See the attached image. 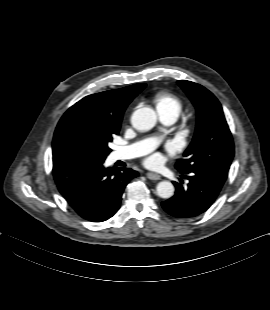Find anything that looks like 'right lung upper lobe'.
<instances>
[{"mask_svg": "<svg viewBox=\"0 0 270 310\" xmlns=\"http://www.w3.org/2000/svg\"><path fill=\"white\" fill-rule=\"evenodd\" d=\"M144 83L92 94L70 107L60 119L53 138V165L78 161L73 127L83 115H91L104 127L119 130L123 113Z\"/></svg>", "mask_w": 270, "mask_h": 310, "instance_id": "right-lung-upper-lobe-1", "label": "right lung upper lobe"}]
</instances>
